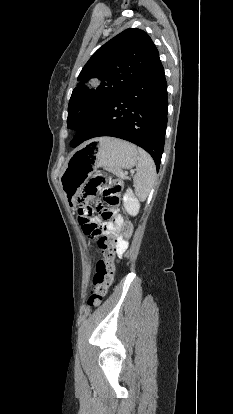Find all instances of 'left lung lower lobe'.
Instances as JSON below:
<instances>
[{"mask_svg": "<svg viewBox=\"0 0 233 414\" xmlns=\"http://www.w3.org/2000/svg\"><path fill=\"white\" fill-rule=\"evenodd\" d=\"M167 110V82L158 57L141 77L77 130L71 146L77 147L100 136L121 138L146 150L158 171L164 149Z\"/></svg>", "mask_w": 233, "mask_h": 414, "instance_id": "0a47b994", "label": "left lung lower lobe"}]
</instances>
